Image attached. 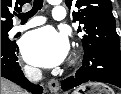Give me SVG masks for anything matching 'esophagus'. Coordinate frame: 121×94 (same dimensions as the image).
<instances>
[{"instance_id": "esophagus-1", "label": "esophagus", "mask_w": 121, "mask_h": 94, "mask_svg": "<svg viewBox=\"0 0 121 94\" xmlns=\"http://www.w3.org/2000/svg\"><path fill=\"white\" fill-rule=\"evenodd\" d=\"M48 88L51 92H58L60 89L59 82L56 79H50L48 81Z\"/></svg>"}]
</instances>
